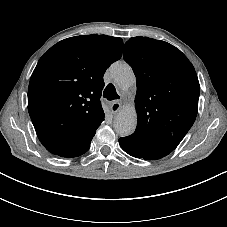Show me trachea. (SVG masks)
I'll return each instance as SVG.
<instances>
[{
    "label": "trachea",
    "instance_id": "obj_1",
    "mask_svg": "<svg viewBox=\"0 0 227 227\" xmlns=\"http://www.w3.org/2000/svg\"><path fill=\"white\" fill-rule=\"evenodd\" d=\"M103 97L109 101L120 99L113 84H108L103 92Z\"/></svg>",
    "mask_w": 227,
    "mask_h": 227
}]
</instances>
